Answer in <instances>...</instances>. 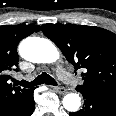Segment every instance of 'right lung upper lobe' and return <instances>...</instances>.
<instances>
[{"label": "right lung upper lobe", "mask_w": 116, "mask_h": 116, "mask_svg": "<svg viewBox=\"0 0 116 116\" xmlns=\"http://www.w3.org/2000/svg\"><path fill=\"white\" fill-rule=\"evenodd\" d=\"M39 28L25 24L0 26V116H11L34 92V88L13 87L9 83V72L18 71L19 42Z\"/></svg>", "instance_id": "right-lung-upper-lobe-1"}]
</instances>
